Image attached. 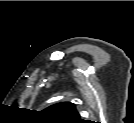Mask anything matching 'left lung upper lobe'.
I'll return each instance as SVG.
<instances>
[{"mask_svg":"<svg viewBox=\"0 0 134 123\" xmlns=\"http://www.w3.org/2000/svg\"><path fill=\"white\" fill-rule=\"evenodd\" d=\"M43 112L56 120L71 123L81 122L80 115L76 111L75 105L70 102H61L51 105L48 108H46Z\"/></svg>","mask_w":134,"mask_h":123,"instance_id":"left-lung-upper-lobe-1","label":"left lung upper lobe"}]
</instances>
